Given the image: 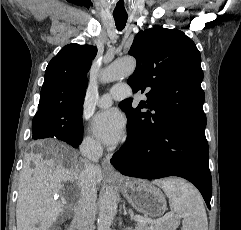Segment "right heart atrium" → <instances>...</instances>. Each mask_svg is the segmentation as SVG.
<instances>
[{
  "label": "right heart atrium",
  "instance_id": "1",
  "mask_svg": "<svg viewBox=\"0 0 241 230\" xmlns=\"http://www.w3.org/2000/svg\"><path fill=\"white\" fill-rule=\"evenodd\" d=\"M81 149L85 154L93 156L100 152L101 146L94 138L85 135L81 140Z\"/></svg>",
  "mask_w": 241,
  "mask_h": 230
}]
</instances>
